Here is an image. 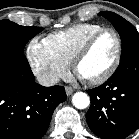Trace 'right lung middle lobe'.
Wrapping results in <instances>:
<instances>
[{"label": "right lung middle lobe", "instance_id": "dd1d6c3e", "mask_svg": "<svg viewBox=\"0 0 139 139\" xmlns=\"http://www.w3.org/2000/svg\"><path fill=\"white\" fill-rule=\"evenodd\" d=\"M41 27H24L9 20L0 21V47L10 46L24 51L26 43L41 32Z\"/></svg>", "mask_w": 139, "mask_h": 139}]
</instances>
